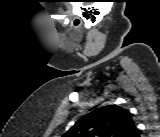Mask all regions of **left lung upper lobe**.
Listing matches in <instances>:
<instances>
[{"instance_id": "5c2ea615", "label": "left lung upper lobe", "mask_w": 160, "mask_h": 137, "mask_svg": "<svg viewBox=\"0 0 160 137\" xmlns=\"http://www.w3.org/2000/svg\"><path fill=\"white\" fill-rule=\"evenodd\" d=\"M137 133L129 111L108 105L79 119L64 137H136Z\"/></svg>"}]
</instances>
